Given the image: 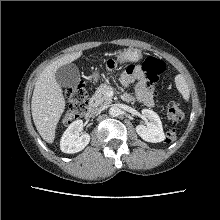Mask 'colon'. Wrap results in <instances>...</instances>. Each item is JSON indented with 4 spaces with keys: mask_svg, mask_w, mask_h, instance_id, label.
<instances>
[{
    "mask_svg": "<svg viewBox=\"0 0 220 220\" xmlns=\"http://www.w3.org/2000/svg\"><path fill=\"white\" fill-rule=\"evenodd\" d=\"M164 63L154 57H148L143 63V71L145 72L146 78L150 85H154L159 76L164 71ZM66 96L69 100V110L64 115L62 122L63 124L71 123L76 119L84 116L88 107L87 92L83 84L79 83L72 87L67 88ZM168 119L172 123H179L184 119V113L177 104H170L167 110ZM176 139V133L174 130H169L166 133V141L172 143Z\"/></svg>",
    "mask_w": 220,
    "mask_h": 220,
    "instance_id": "1",
    "label": "colon"
}]
</instances>
